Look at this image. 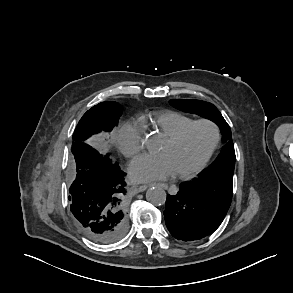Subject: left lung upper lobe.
Wrapping results in <instances>:
<instances>
[{
    "mask_svg": "<svg viewBox=\"0 0 293 293\" xmlns=\"http://www.w3.org/2000/svg\"><path fill=\"white\" fill-rule=\"evenodd\" d=\"M170 104L181 111L194 113L212 120L221 130L226 145L222 148L214 163L201 175L233 176L236 157L233 142L230 140L231 129L219 110L213 104L201 100L172 99Z\"/></svg>",
    "mask_w": 293,
    "mask_h": 293,
    "instance_id": "left-lung-upper-lobe-1",
    "label": "left lung upper lobe"
}]
</instances>
